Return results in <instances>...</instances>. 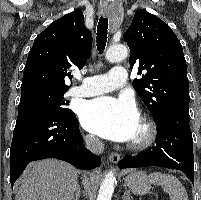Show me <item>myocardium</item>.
Wrapping results in <instances>:
<instances>
[{"instance_id":"f54148a6","label":"myocardium","mask_w":201,"mask_h":200,"mask_svg":"<svg viewBox=\"0 0 201 200\" xmlns=\"http://www.w3.org/2000/svg\"><path fill=\"white\" fill-rule=\"evenodd\" d=\"M139 119L142 125L141 136L131 141L129 147L134 150H141L149 147L156 139L157 127L155 123L146 115H139Z\"/></svg>"}]
</instances>
